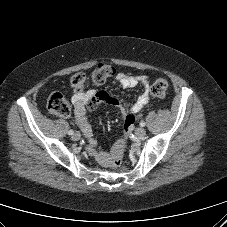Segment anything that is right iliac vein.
Segmentation results:
<instances>
[{
	"instance_id": "1",
	"label": "right iliac vein",
	"mask_w": 227,
	"mask_h": 227,
	"mask_svg": "<svg viewBox=\"0 0 227 227\" xmlns=\"http://www.w3.org/2000/svg\"><path fill=\"white\" fill-rule=\"evenodd\" d=\"M72 140L73 141H78V140H80V138H81V134L79 133V132H76V133H74L73 135H72Z\"/></svg>"
}]
</instances>
